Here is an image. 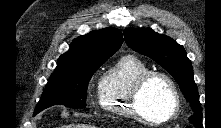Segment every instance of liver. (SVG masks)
I'll use <instances>...</instances> for the list:
<instances>
[{
  "label": "liver",
  "mask_w": 221,
  "mask_h": 128,
  "mask_svg": "<svg viewBox=\"0 0 221 128\" xmlns=\"http://www.w3.org/2000/svg\"><path fill=\"white\" fill-rule=\"evenodd\" d=\"M62 128H94V127L86 124H77V125L62 126Z\"/></svg>",
  "instance_id": "1"
}]
</instances>
